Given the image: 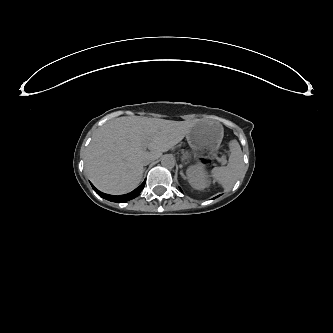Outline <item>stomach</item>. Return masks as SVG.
<instances>
[{
	"instance_id": "stomach-1",
	"label": "stomach",
	"mask_w": 333,
	"mask_h": 333,
	"mask_svg": "<svg viewBox=\"0 0 333 333\" xmlns=\"http://www.w3.org/2000/svg\"><path fill=\"white\" fill-rule=\"evenodd\" d=\"M188 142H189L191 145H196V144H197V142H196V140L194 139L193 136L188 137Z\"/></svg>"
}]
</instances>
